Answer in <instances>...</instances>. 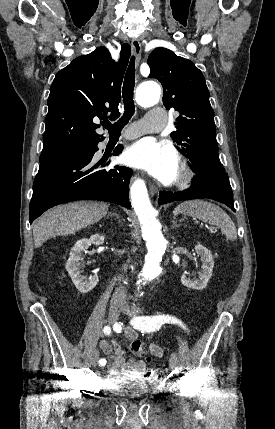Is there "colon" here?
<instances>
[{
	"label": "colon",
	"mask_w": 275,
	"mask_h": 429,
	"mask_svg": "<svg viewBox=\"0 0 275 429\" xmlns=\"http://www.w3.org/2000/svg\"><path fill=\"white\" fill-rule=\"evenodd\" d=\"M132 351L137 354L140 357L144 356V350L140 344V342L136 341L132 344ZM148 362L150 363V360H148ZM154 370L152 368H149L146 372L147 376H151L153 375Z\"/></svg>",
	"instance_id": "5ec220e1"
}]
</instances>
